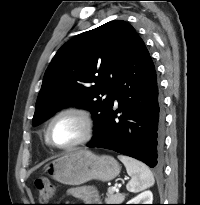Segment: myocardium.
<instances>
[{
	"instance_id": "1",
	"label": "myocardium",
	"mask_w": 200,
	"mask_h": 205,
	"mask_svg": "<svg viewBox=\"0 0 200 205\" xmlns=\"http://www.w3.org/2000/svg\"><path fill=\"white\" fill-rule=\"evenodd\" d=\"M67 115L75 116L80 120L83 126V132L81 137L76 141L67 145H59L55 143L54 140L52 139V135H51L52 127L59 118ZM94 132H95V122L89 110L82 107H68L59 111L50 120L46 129V141L49 145H51L56 149L70 150L89 142L92 139Z\"/></svg>"
}]
</instances>
